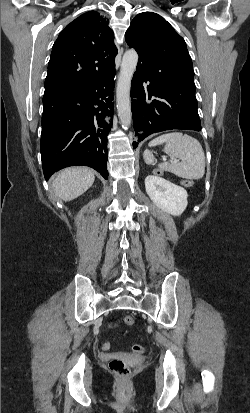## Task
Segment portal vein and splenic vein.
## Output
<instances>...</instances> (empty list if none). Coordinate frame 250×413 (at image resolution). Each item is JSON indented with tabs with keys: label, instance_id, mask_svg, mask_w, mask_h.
<instances>
[{
	"label": "portal vein and splenic vein",
	"instance_id": "1",
	"mask_svg": "<svg viewBox=\"0 0 250 413\" xmlns=\"http://www.w3.org/2000/svg\"><path fill=\"white\" fill-rule=\"evenodd\" d=\"M167 159L163 157V161H166ZM172 161V160H171ZM173 162H177V160H174Z\"/></svg>",
	"mask_w": 250,
	"mask_h": 413
}]
</instances>
